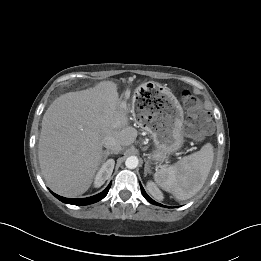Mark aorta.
Returning a JSON list of instances; mask_svg holds the SVG:
<instances>
[{"label": "aorta", "instance_id": "obj_1", "mask_svg": "<svg viewBox=\"0 0 261 261\" xmlns=\"http://www.w3.org/2000/svg\"><path fill=\"white\" fill-rule=\"evenodd\" d=\"M139 164V160L136 156H130L125 161V166L128 169H135Z\"/></svg>", "mask_w": 261, "mask_h": 261}]
</instances>
